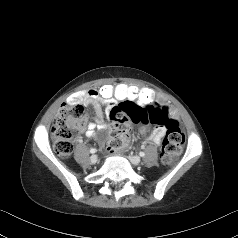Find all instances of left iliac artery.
<instances>
[{
  "instance_id": "1",
  "label": "left iliac artery",
  "mask_w": 238,
  "mask_h": 238,
  "mask_svg": "<svg viewBox=\"0 0 238 238\" xmlns=\"http://www.w3.org/2000/svg\"><path fill=\"white\" fill-rule=\"evenodd\" d=\"M139 155H140L141 157H144V156H145V153H144V152H140Z\"/></svg>"
}]
</instances>
